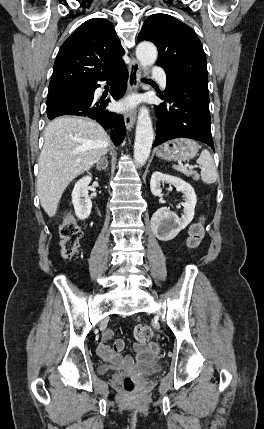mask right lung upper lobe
<instances>
[{
  "instance_id": "obj_1",
  "label": "right lung upper lobe",
  "mask_w": 264,
  "mask_h": 429,
  "mask_svg": "<svg viewBox=\"0 0 264 429\" xmlns=\"http://www.w3.org/2000/svg\"><path fill=\"white\" fill-rule=\"evenodd\" d=\"M124 53L110 21L87 20L60 48L49 88L89 84L121 62Z\"/></svg>"
}]
</instances>
